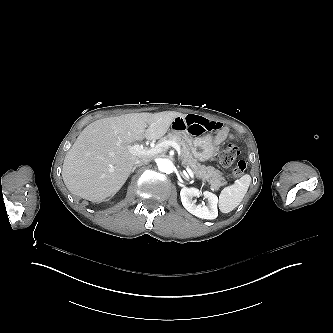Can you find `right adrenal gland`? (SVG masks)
<instances>
[{"label": "right adrenal gland", "instance_id": "obj_1", "mask_svg": "<svg viewBox=\"0 0 333 333\" xmlns=\"http://www.w3.org/2000/svg\"><path fill=\"white\" fill-rule=\"evenodd\" d=\"M138 166H134L133 169L131 170V173L134 172V170L137 168Z\"/></svg>", "mask_w": 333, "mask_h": 333}]
</instances>
